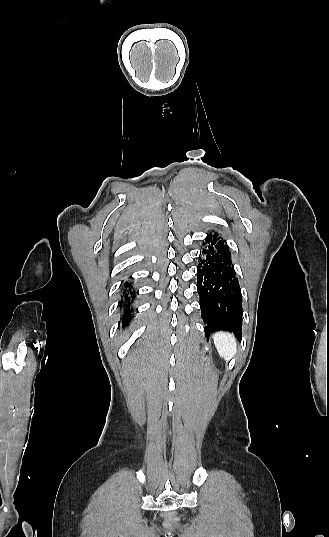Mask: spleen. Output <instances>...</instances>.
<instances>
[{
	"label": "spleen",
	"mask_w": 329,
	"mask_h": 537,
	"mask_svg": "<svg viewBox=\"0 0 329 537\" xmlns=\"http://www.w3.org/2000/svg\"><path fill=\"white\" fill-rule=\"evenodd\" d=\"M214 344L219 354L229 361L237 352V342L230 333L218 332L213 336Z\"/></svg>",
	"instance_id": "1"
}]
</instances>
